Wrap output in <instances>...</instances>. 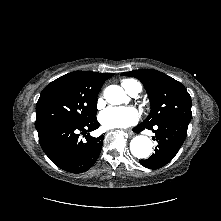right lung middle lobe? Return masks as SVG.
Here are the masks:
<instances>
[{
	"label": "right lung middle lobe",
	"mask_w": 221,
	"mask_h": 221,
	"mask_svg": "<svg viewBox=\"0 0 221 221\" xmlns=\"http://www.w3.org/2000/svg\"><path fill=\"white\" fill-rule=\"evenodd\" d=\"M96 100V94L84 91L71 79L61 76L41 92L35 127L41 131L56 124H85L96 119Z\"/></svg>",
	"instance_id": "1"
}]
</instances>
